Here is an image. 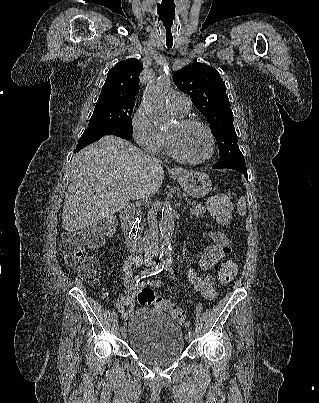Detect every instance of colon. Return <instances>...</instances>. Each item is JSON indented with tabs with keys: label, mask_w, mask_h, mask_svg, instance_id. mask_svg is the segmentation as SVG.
Masks as SVG:
<instances>
[{
	"label": "colon",
	"mask_w": 319,
	"mask_h": 403,
	"mask_svg": "<svg viewBox=\"0 0 319 403\" xmlns=\"http://www.w3.org/2000/svg\"><path fill=\"white\" fill-rule=\"evenodd\" d=\"M209 211L220 223L226 224L230 220V202L226 195L213 196L208 202ZM115 230V222L107 218L100 224L87 227L80 231L65 233L61 242V250L65 261L73 267L82 279L95 282L99 278L100 266L96 259L86 254V246L98 247L107 236ZM237 273L234 263H226L220 270L219 280L222 283L231 282ZM138 302L143 307L154 305L159 311L168 313L181 326L188 327L189 322L185 312L178 305L156 296L150 288L143 287L137 294Z\"/></svg>",
	"instance_id": "obj_1"
}]
</instances>
